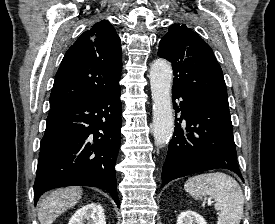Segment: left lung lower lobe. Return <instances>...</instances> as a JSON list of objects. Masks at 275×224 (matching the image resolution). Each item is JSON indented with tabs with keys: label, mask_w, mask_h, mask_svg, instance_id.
<instances>
[{
	"label": "left lung lower lobe",
	"mask_w": 275,
	"mask_h": 224,
	"mask_svg": "<svg viewBox=\"0 0 275 224\" xmlns=\"http://www.w3.org/2000/svg\"><path fill=\"white\" fill-rule=\"evenodd\" d=\"M180 98L175 131L162 170L163 187L169 181L197 172L225 168L240 178L229 109L174 90ZM186 120V131L180 123ZM179 121L180 123H178Z\"/></svg>",
	"instance_id": "obj_1"
}]
</instances>
